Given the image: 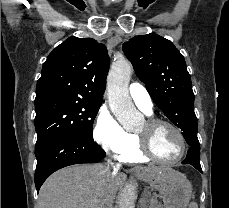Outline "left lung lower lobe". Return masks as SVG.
Masks as SVG:
<instances>
[{
	"instance_id": "obj_1",
	"label": "left lung lower lobe",
	"mask_w": 229,
	"mask_h": 208,
	"mask_svg": "<svg viewBox=\"0 0 229 208\" xmlns=\"http://www.w3.org/2000/svg\"><path fill=\"white\" fill-rule=\"evenodd\" d=\"M182 135L190 146L187 156L182 161V164H190L202 173L200 165V144L197 138V131H188L182 133Z\"/></svg>"
}]
</instances>
